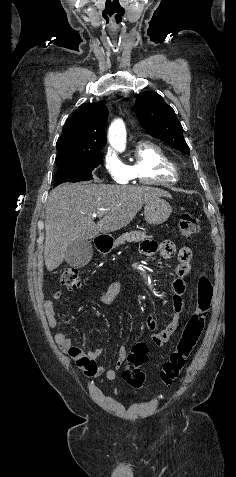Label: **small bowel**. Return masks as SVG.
<instances>
[{"label":"small bowel","instance_id":"c3829d8e","mask_svg":"<svg viewBox=\"0 0 236 477\" xmlns=\"http://www.w3.org/2000/svg\"><path fill=\"white\" fill-rule=\"evenodd\" d=\"M141 253L145 256H153L159 254L164 259L173 257L176 253L178 256V265L175 269L177 279L173 281L172 289V317L167 325L160 331H155V322L149 320L148 326L153 331L152 339L156 347H164L170 340L173 333L177 330L180 322V317L184 309V294L185 285L182 281V277L186 276L191 268V251L188 247H181L176 250L174 242L165 240L160 244L154 241L147 240L141 245ZM122 284L120 281H112L101 292L100 301L103 305H110L121 290ZM62 299V292L56 291L52 300H46L43 304L44 313L51 328H55L58 324L56 310L54 303L59 302ZM54 339L60 349L69 356L76 365L83 371L88 377L105 375L106 379L113 380L117 375V370L122 368L127 358V347L120 346L118 350V357L115 363V367L105 370V368L99 365L96 360L102 354V348H95L88 351L74 346L70 338L62 333H56Z\"/></svg>","mask_w":236,"mask_h":477}]
</instances>
